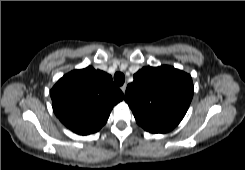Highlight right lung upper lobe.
Listing matches in <instances>:
<instances>
[{
    "instance_id": "obj_1",
    "label": "right lung upper lobe",
    "mask_w": 245,
    "mask_h": 170,
    "mask_svg": "<svg viewBox=\"0 0 245 170\" xmlns=\"http://www.w3.org/2000/svg\"><path fill=\"white\" fill-rule=\"evenodd\" d=\"M50 95L55 115L79 135L99 131L124 97L109 74L91 66L64 75Z\"/></svg>"
}]
</instances>
